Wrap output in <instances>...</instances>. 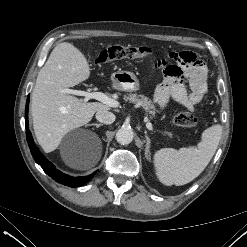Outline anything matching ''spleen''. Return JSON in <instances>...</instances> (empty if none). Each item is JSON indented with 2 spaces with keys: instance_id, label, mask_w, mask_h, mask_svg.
Masks as SVG:
<instances>
[{
  "instance_id": "1",
  "label": "spleen",
  "mask_w": 247,
  "mask_h": 247,
  "mask_svg": "<svg viewBox=\"0 0 247 247\" xmlns=\"http://www.w3.org/2000/svg\"><path fill=\"white\" fill-rule=\"evenodd\" d=\"M221 135L222 126L216 124L203 131L197 147L163 148L155 152L153 164L159 181L167 186H181L194 180L209 164Z\"/></svg>"
}]
</instances>
